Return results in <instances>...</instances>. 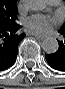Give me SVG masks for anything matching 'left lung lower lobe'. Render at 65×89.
<instances>
[{
    "mask_svg": "<svg viewBox=\"0 0 65 89\" xmlns=\"http://www.w3.org/2000/svg\"><path fill=\"white\" fill-rule=\"evenodd\" d=\"M64 40L58 41L59 49L53 54H46L48 64L55 70L65 71V31L59 30Z\"/></svg>",
    "mask_w": 65,
    "mask_h": 89,
    "instance_id": "obj_1",
    "label": "left lung lower lobe"
}]
</instances>
